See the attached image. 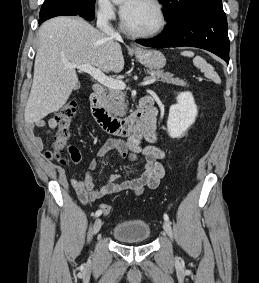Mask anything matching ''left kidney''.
<instances>
[{"label":"left kidney","mask_w":259,"mask_h":283,"mask_svg":"<svg viewBox=\"0 0 259 283\" xmlns=\"http://www.w3.org/2000/svg\"><path fill=\"white\" fill-rule=\"evenodd\" d=\"M176 100L177 103L169 109L167 129L171 138H182L194 124L198 110L190 92L180 93Z\"/></svg>","instance_id":"1"}]
</instances>
